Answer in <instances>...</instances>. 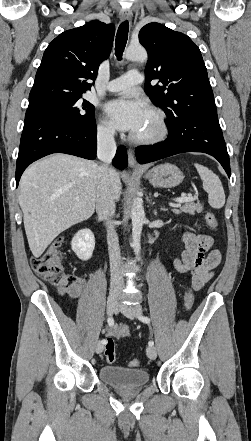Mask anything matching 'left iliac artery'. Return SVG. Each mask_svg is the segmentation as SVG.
Returning a JSON list of instances; mask_svg holds the SVG:
<instances>
[{"label":"left iliac artery","mask_w":251,"mask_h":441,"mask_svg":"<svg viewBox=\"0 0 251 441\" xmlns=\"http://www.w3.org/2000/svg\"><path fill=\"white\" fill-rule=\"evenodd\" d=\"M137 317H138V319H139L140 321H142L143 323H146V324H149V323H150V318L147 317V316L138 315ZM148 344H149V346H153V345H154V342L151 340V341L148 342Z\"/></svg>","instance_id":"obj_1"}]
</instances>
